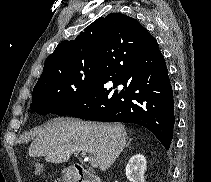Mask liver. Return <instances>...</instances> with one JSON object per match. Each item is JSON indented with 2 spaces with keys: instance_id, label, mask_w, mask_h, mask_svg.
Instances as JSON below:
<instances>
[{
  "instance_id": "1",
  "label": "liver",
  "mask_w": 211,
  "mask_h": 182,
  "mask_svg": "<svg viewBox=\"0 0 211 182\" xmlns=\"http://www.w3.org/2000/svg\"><path fill=\"white\" fill-rule=\"evenodd\" d=\"M124 125L92 123L74 118H54L39 131L29 147L30 157H45L51 163H64L75 152L92 154L106 171L126 145Z\"/></svg>"
}]
</instances>
